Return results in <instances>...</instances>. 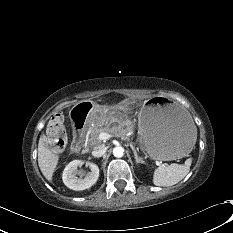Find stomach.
I'll list each match as a JSON object with an SVG mask.
<instances>
[{
	"label": "stomach",
	"mask_w": 233,
	"mask_h": 233,
	"mask_svg": "<svg viewBox=\"0 0 233 233\" xmlns=\"http://www.w3.org/2000/svg\"><path fill=\"white\" fill-rule=\"evenodd\" d=\"M116 112L96 108L89 118L96 123L115 119ZM142 150L154 160L180 159L198 146L199 132L194 117L165 98L144 103L138 121Z\"/></svg>",
	"instance_id": "obj_1"
}]
</instances>
